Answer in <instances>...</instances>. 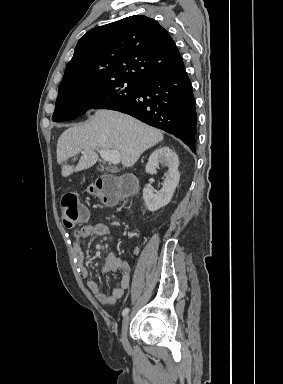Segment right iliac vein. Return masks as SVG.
<instances>
[{
  "label": "right iliac vein",
  "instance_id": "right-iliac-vein-1",
  "mask_svg": "<svg viewBox=\"0 0 283 384\" xmlns=\"http://www.w3.org/2000/svg\"><path fill=\"white\" fill-rule=\"evenodd\" d=\"M129 322H130V318L128 315H126L123 319L122 330H121V342H122L123 347L125 348L126 351H130V345H129L128 338H127Z\"/></svg>",
  "mask_w": 283,
  "mask_h": 384
}]
</instances>
